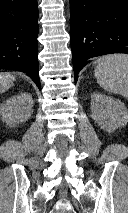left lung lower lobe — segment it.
<instances>
[{
    "mask_svg": "<svg viewBox=\"0 0 128 213\" xmlns=\"http://www.w3.org/2000/svg\"><path fill=\"white\" fill-rule=\"evenodd\" d=\"M75 81L92 57L128 54V0H70Z\"/></svg>",
    "mask_w": 128,
    "mask_h": 213,
    "instance_id": "left-lung-lower-lobe-1",
    "label": "left lung lower lobe"
}]
</instances>
